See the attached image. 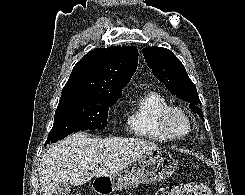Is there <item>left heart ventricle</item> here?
Listing matches in <instances>:
<instances>
[{
  "instance_id": "obj_1",
  "label": "left heart ventricle",
  "mask_w": 245,
  "mask_h": 195,
  "mask_svg": "<svg viewBox=\"0 0 245 195\" xmlns=\"http://www.w3.org/2000/svg\"><path fill=\"white\" fill-rule=\"evenodd\" d=\"M170 127L177 135H184L188 131L187 121L179 114H174L171 116Z\"/></svg>"
}]
</instances>
